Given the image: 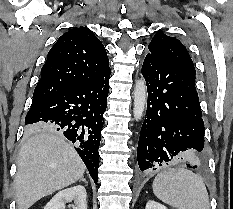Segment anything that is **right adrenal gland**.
<instances>
[{
	"label": "right adrenal gland",
	"mask_w": 233,
	"mask_h": 209,
	"mask_svg": "<svg viewBox=\"0 0 233 209\" xmlns=\"http://www.w3.org/2000/svg\"><path fill=\"white\" fill-rule=\"evenodd\" d=\"M80 181H83L85 184H87L86 179L84 178V176L81 177Z\"/></svg>",
	"instance_id": "2a0ac1e0"
}]
</instances>
